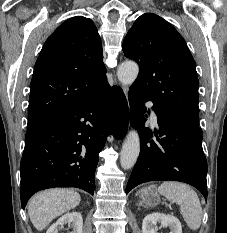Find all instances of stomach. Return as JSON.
Listing matches in <instances>:
<instances>
[{"instance_id":"1","label":"stomach","mask_w":227,"mask_h":233,"mask_svg":"<svg viewBox=\"0 0 227 233\" xmlns=\"http://www.w3.org/2000/svg\"><path fill=\"white\" fill-rule=\"evenodd\" d=\"M138 194L142 200L140 203L145 207H154L160 203L159 194L154 186L141 189Z\"/></svg>"}]
</instances>
